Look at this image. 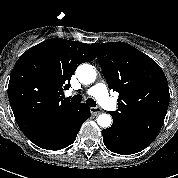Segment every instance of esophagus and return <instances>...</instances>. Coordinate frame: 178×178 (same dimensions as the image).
I'll return each instance as SVG.
<instances>
[{
  "label": "esophagus",
  "instance_id": "1",
  "mask_svg": "<svg viewBox=\"0 0 178 178\" xmlns=\"http://www.w3.org/2000/svg\"><path fill=\"white\" fill-rule=\"evenodd\" d=\"M90 112L92 115L97 116L102 112V109L100 107H91Z\"/></svg>",
  "mask_w": 178,
  "mask_h": 178
}]
</instances>
